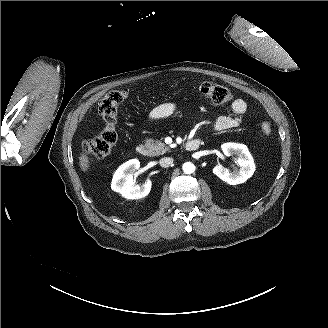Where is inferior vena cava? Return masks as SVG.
I'll list each match as a JSON object with an SVG mask.
<instances>
[{"mask_svg":"<svg viewBox=\"0 0 328 328\" xmlns=\"http://www.w3.org/2000/svg\"><path fill=\"white\" fill-rule=\"evenodd\" d=\"M173 163V158L171 157H163L159 160V164L161 167H169Z\"/></svg>","mask_w":328,"mask_h":328,"instance_id":"inferior-vena-cava-1","label":"inferior vena cava"}]
</instances>
